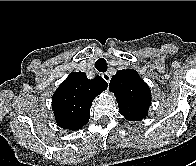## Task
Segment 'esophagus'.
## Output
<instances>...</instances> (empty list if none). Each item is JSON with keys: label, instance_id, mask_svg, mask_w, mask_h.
Segmentation results:
<instances>
[{"label": "esophagus", "instance_id": "1", "mask_svg": "<svg viewBox=\"0 0 196 166\" xmlns=\"http://www.w3.org/2000/svg\"><path fill=\"white\" fill-rule=\"evenodd\" d=\"M102 77H103V79H104L107 83L110 82L111 77H110L109 73H103V74H102Z\"/></svg>", "mask_w": 196, "mask_h": 166}]
</instances>
